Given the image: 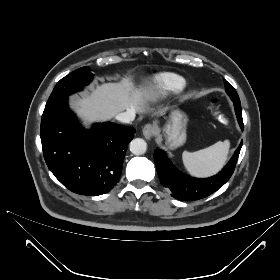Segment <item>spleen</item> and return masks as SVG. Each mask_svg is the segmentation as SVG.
<instances>
[{
	"mask_svg": "<svg viewBox=\"0 0 280 280\" xmlns=\"http://www.w3.org/2000/svg\"><path fill=\"white\" fill-rule=\"evenodd\" d=\"M230 142L218 141L215 144L195 151H184L183 164L187 171L195 177H209L219 172L226 163Z\"/></svg>",
	"mask_w": 280,
	"mask_h": 280,
	"instance_id": "3e777b00",
	"label": "spleen"
}]
</instances>
